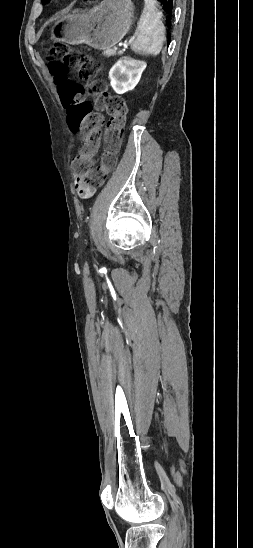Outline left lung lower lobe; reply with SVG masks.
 <instances>
[{"instance_id":"obj_1","label":"left lung lower lobe","mask_w":253,"mask_h":548,"mask_svg":"<svg viewBox=\"0 0 253 548\" xmlns=\"http://www.w3.org/2000/svg\"><path fill=\"white\" fill-rule=\"evenodd\" d=\"M169 18L172 16L174 0H158ZM170 40V38H169Z\"/></svg>"}]
</instances>
